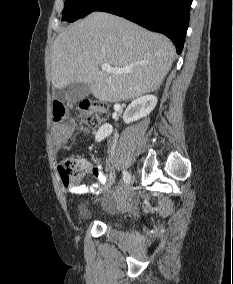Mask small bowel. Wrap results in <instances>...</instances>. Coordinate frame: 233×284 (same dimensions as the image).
<instances>
[{"label": "small bowel", "mask_w": 233, "mask_h": 284, "mask_svg": "<svg viewBox=\"0 0 233 284\" xmlns=\"http://www.w3.org/2000/svg\"><path fill=\"white\" fill-rule=\"evenodd\" d=\"M71 135V128L67 126H58L56 129V136L59 141V143H65ZM76 163L77 167L79 168V171L81 175L85 174H93V176L97 179V182L92 185L91 187L86 186H65V189L68 192L75 193V194H83L87 192H92L95 194H99L103 187L108 184V186H111L114 182V175L111 173L108 176L103 172L101 166L99 165V159L95 154H90V160L85 158H77L73 159ZM123 205V202L120 199H116L114 201H108L107 207L113 208V207H121Z\"/></svg>", "instance_id": "obj_1"}]
</instances>
